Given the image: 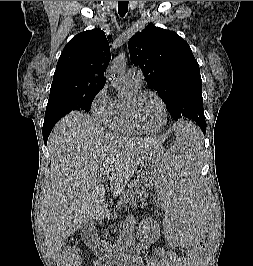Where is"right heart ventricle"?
Instances as JSON below:
<instances>
[{
  "label": "right heart ventricle",
  "instance_id": "1",
  "mask_svg": "<svg viewBox=\"0 0 253 266\" xmlns=\"http://www.w3.org/2000/svg\"><path fill=\"white\" fill-rule=\"evenodd\" d=\"M128 98L117 99L114 101V107L107 125L119 135H136L139 132L132 126L128 113V99L135 92L139 91L140 86L127 83Z\"/></svg>",
  "mask_w": 253,
  "mask_h": 266
}]
</instances>
